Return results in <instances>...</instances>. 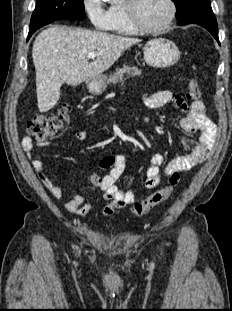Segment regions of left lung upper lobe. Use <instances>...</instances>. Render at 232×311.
Masks as SVG:
<instances>
[{
    "label": "left lung upper lobe",
    "instance_id": "obj_1",
    "mask_svg": "<svg viewBox=\"0 0 232 311\" xmlns=\"http://www.w3.org/2000/svg\"><path fill=\"white\" fill-rule=\"evenodd\" d=\"M177 8L176 17L181 16L183 13L191 10L198 4L209 0H172Z\"/></svg>",
    "mask_w": 232,
    "mask_h": 311
}]
</instances>
